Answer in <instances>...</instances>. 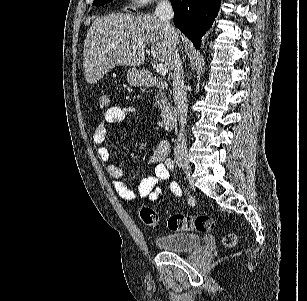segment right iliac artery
Wrapping results in <instances>:
<instances>
[{"instance_id": "1", "label": "right iliac artery", "mask_w": 307, "mask_h": 301, "mask_svg": "<svg viewBox=\"0 0 307 301\" xmlns=\"http://www.w3.org/2000/svg\"><path fill=\"white\" fill-rule=\"evenodd\" d=\"M166 165H167V167L170 168V169H173L174 166H175V165H174V161H173L172 159H170V158L166 160Z\"/></svg>"}]
</instances>
